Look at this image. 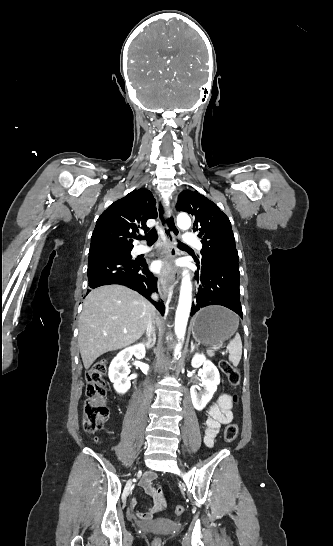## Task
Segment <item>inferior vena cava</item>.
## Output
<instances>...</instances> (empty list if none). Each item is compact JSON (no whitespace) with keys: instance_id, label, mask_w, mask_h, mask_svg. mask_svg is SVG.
<instances>
[{"instance_id":"1","label":"inferior vena cava","mask_w":333,"mask_h":546,"mask_svg":"<svg viewBox=\"0 0 333 546\" xmlns=\"http://www.w3.org/2000/svg\"><path fill=\"white\" fill-rule=\"evenodd\" d=\"M152 298L155 299V300H158V295L157 294H152ZM155 327H154V321H151L148 326H147V329H146V336L148 338V340L151 339V335L155 334Z\"/></svg>"}]
</instances>
